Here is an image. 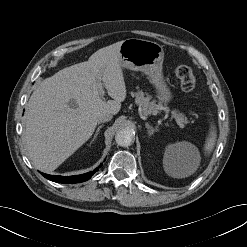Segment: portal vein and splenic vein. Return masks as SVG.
Listing matches in <instances>:
<instances>
[{"label":"portal vein and splenic vein","instance_id":"obj_1","mask_svg":"<svg viewBox=\"0 0 247 247\" xmlns=\"http://www.w3.org/2000/svg\"><path fill=\"white\" fill-rule=\"evenodd\" d=\"M99 93L103 97L104 96V89L102 85H99ZM171 117L176 121V123L180 126V128H184V124L176 117L174 113L171 114Z\"/></svg>","mask_w":247,"mask_h":247}]
</instances>
